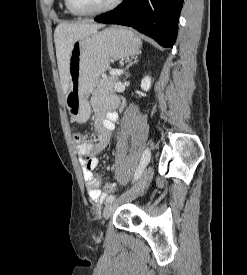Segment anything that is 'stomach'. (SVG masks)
<instances>
[{
    "mask_svg": "<svg viewBox=\"0 0 247 275\" xmlns=\"http://www.w3.org/2000/svg\"><path fill=\"white\" fill-rule=\"evenodd\" d=\"M141 40L130 30L110 27L74 42L69 57V90L65 104L71 117L84 123L89 119L87 95L92 93L111 60L139 53Z\"/></svg>",
    "mask_w": 247,
    "mask_h": 275,
    "instance_id": "stomach-1",
    "label": "stomach"
}]
</instances>
